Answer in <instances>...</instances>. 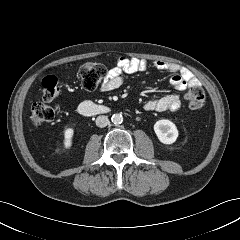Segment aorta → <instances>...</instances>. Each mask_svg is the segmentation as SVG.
<instances>
[{"mask_svg": "<svg viewBox=\"0 0 240 240\" xmlns=\"http://www.w3.org/2000/svg\"><path fill=\"white\" fill-rule=\"evenodd\" d=\"M111 121L114 125H119L123 122V116L119 113L113 114L111 117Z\"/></svg>", "mask_w": 240, "mask_h": 240, "instance_id": "1", "label": "aorta"}]
</instances>
